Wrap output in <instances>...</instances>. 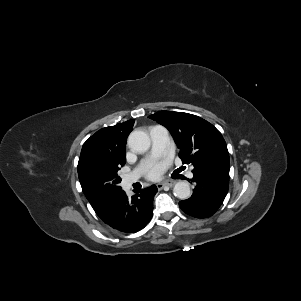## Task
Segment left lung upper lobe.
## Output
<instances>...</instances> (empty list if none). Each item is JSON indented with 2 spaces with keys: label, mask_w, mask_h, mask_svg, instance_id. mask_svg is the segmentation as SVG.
Returning <instances> with one entry per match:
<instances>
[{
  "label": "left lung upper lobe",
  "mask_w": 301,
  "mask_h": 301,
  "mask_svg": "<svg viewBox=\"0 0 301 301\" xmlns=\"http://www.w3.org/2000/svg\"><path fill=\"white\" fill-rule=\"evenodd\" d=\"M172 134L183 164H192L194 175L229 184V153L221 133L206 120L192 114L160 111L149 116Z\"/></svg>",
  "instance_id": "5c2ea615"
}]
</instances>
